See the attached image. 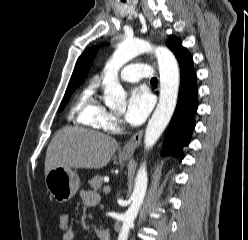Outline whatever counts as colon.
Here are the masks:
<instances>
[{
	"instance_id": "colon-1",
	"label": "colon",
	"mask_w": 248,
	"mask_h": 240,
	"mask_svg": "<svg viewBox=\"0 0 248 240\" xmlns=\"http://www.w3.org/2000/svg\"><path fill=\"white\" fill-rule=\"evenodd\" d=\"M58 227L62 232L70 228V217L68 214L66 213L60 214L58 219Z\"/></svg>"
}]
</instances>
